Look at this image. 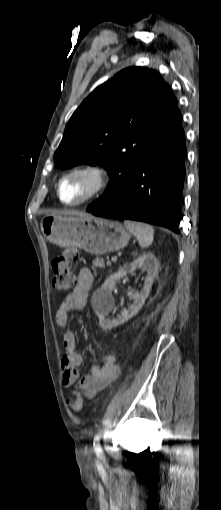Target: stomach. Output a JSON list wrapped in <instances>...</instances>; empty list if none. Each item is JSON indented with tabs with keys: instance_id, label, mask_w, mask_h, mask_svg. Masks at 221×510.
Listing matches in <instances>:
<instances>
[{
	"instance_id": "obj_1",
	"label": "stomach",
	"mask_w": 221,
	"mask_h": 510,
	"mask_svg": "<svg viewBox=\"0 0 221 510\" xmlns=\"http://www.w3.org/2000/svg\"><path fill=\"white\" fill-rule=\"evenodd\" d=\"M40 228L51 243L60 247H78L94 255L118 251L130 239L120 222L92 215H46L41 219Z\"/></svg>"
}]
</instances>
